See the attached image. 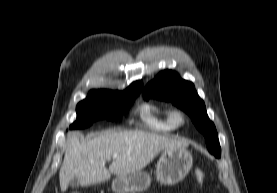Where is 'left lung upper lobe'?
Masks as SVG:
<instances>
[{
  "label": "left lung upper lobe",
  "instance_id": "obj_1",
  "mask_svg": "<svg viewBox=\"0 0 277 193\" xmlns=\"http://www.w3.org/2000/svg\"><path fill=\"white\" fill-rule=\"evenodd\" d=\"M143 96L146 100L153 97L171 101L188 113L197 129L205 136L209 152L216 158H220L221 148L216 128L207 115L203 100L198 96L191 82L181 79L176 72L162 71L147 84Z\"/></svg>",
  "mask_w": 277,
  "mask_h": 193
}]
</instances>
